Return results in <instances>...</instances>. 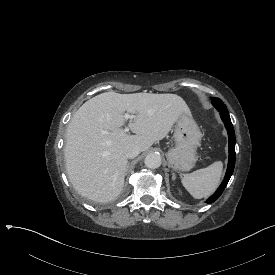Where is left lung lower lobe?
I'll use <instances>...</instances> for the list:
<instances>
[{
    "mask_svg": "<svg viewBox=\"0 0 275 275\" xmlns=\"http://www.w3.org/2000/svg\"><path fill=\"white\" fill-rule=\"evenodd\" d=\"M220 116H221V118L225 124V127L228 131V137H229L228 168H227L226 175L224 177L223 182L221 183V185L219 186L217 191L207 200V203H213L220 197V195L224 191V189L233 173L234 166H235V132H234V128L232 126L229 113L220 111Z\"/></svg>",
    "mask_w": 275,
    "mask_h": 275,
    "instance_id": "left-lung-lower-lobe-1",
    "label": "left lung lower lobe"
}]
</instances>
